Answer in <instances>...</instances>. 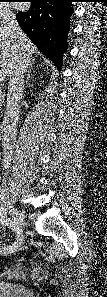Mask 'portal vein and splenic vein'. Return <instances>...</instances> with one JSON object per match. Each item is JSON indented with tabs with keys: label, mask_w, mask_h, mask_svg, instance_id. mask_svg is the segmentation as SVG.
Returning <instances> with one entry per match:
<instances>
[{
	"label": "portal vein and splenic vein",
	"mask_w": 107,
	"mask_h": 297,
	"mask_svg": "<svg viewBox=\"0 0 107 297\" xmlns=\"http://www.w3.org/2000/svg\"><path fill=\"white\" fill-rule=\"evenodd\" d=\"M4 79H5V76L0 74V81H3Z\"/></svg>",
	"instance_id": "1"
}]
</instances>
